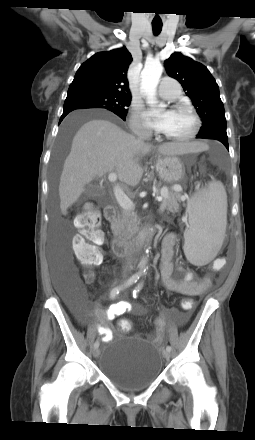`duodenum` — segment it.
Segmentation results:
<instances>
[{
  "mask_svg": "<svg viewBox=\"0 0 255 440\" xmlns=\"http://www.w3.org/2000/svg\"><path fill=\"white\" fill-rule=\"evenodd\" d=\"M104 216L108 221H113L116 216L114 206L107 205L104 209ZM156 234L153 228L144 229L134 241H127L115 238L112 242V249L116 256L125 257L139 251Z\"/></svg>",
  "mask_w": 255,
  "mask_h": 440,
  "instance_id": "duodenum-1",
  "label": "duodenum"
}]
</instances>
